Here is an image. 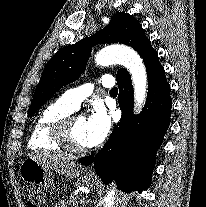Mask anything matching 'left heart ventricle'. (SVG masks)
Wrapping results in <instances>:
<instances>
[{
  "mask_svg": "<svg viewBox=\"0 0 206 207\" xmlns=\"http://www.w3.org/2000/svg\"><path fill=\"white\" fill-rule=\"evenodd\" d=\"M71 137L77 147H88L86 142V120L83 117L77 118L71 129Z\"/></svg>",
  "mask_w": 206,
  "mask_h": 207,
  "instance_id": "left-heart-ventricle-1",
  "label": "left heart ventricle"
}]
</instances>
